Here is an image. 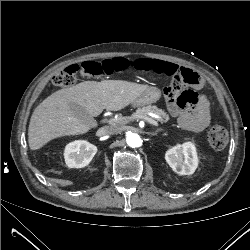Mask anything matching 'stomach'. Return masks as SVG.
Here are the masks:
<instances>
[{
	"label": "stomach",
	"mask_w": 250,
	"mask_h": 250,
	"mask_svg": "<svg viewBox=\"0 0 250 250\" xmlns=\"http://www.w3.org/2000/svg\"><path fill=\"white\" fill-rule=\"evenodd\" d=\"M161 98V91L155 87H149L138 98H136L132 105L135 107L144 106L157 102Z\"/></svg>",
	"instance_id": "stomach-1"
}]
</instances>
